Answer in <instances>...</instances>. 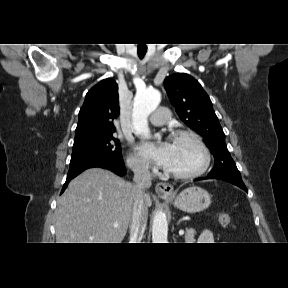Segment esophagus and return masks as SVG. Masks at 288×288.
<instances>
[{
    "mask_svg": "<svg viewBox=\"0 0 288 288\" xmlns=\"http://www.w3.org/2000/svg\"><path fill=\"white\" fill-rule=\"evenodd\" d=\"M155 191L159 196L168 197L173 195L174 188L169 183L159 182L156 184Z\"/></svg>",
    "mask_w": 288,
    "mask_h": 288,
    "instance_id": "obj_1",
    "label": "esophagus"
}]
</instances>
